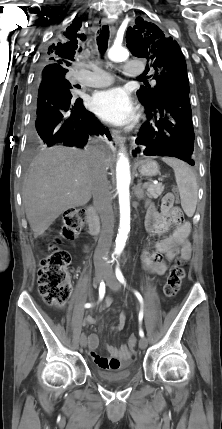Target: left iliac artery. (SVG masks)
<instances>
[{
	"label": "left iliac artery",
	"mask_w": 222,
	"mask_h": 429,
	"mask_svg": "<svg viewBox=\"0 0 222 429\" xmlns=\"http://www.w3.org/2000/svg\"><path fill=\"white\" fill-rule=\"evenodd\" d=\"M115 273H116V277H117L118 281L120 283L126 285V281L124 279V276H123V274H122V272L118 266L116 267ZM134 294L136 295L137 299L139 300V302L141 304V310L139 312V322L141 323L142 319H143V298H142L141 294L137 291H134ZM139 335H140V337H144V332L141 328L139 329Z\"/></svg>",
	"instance_id": "left-iliac-artery-1"
}]
</instances>
